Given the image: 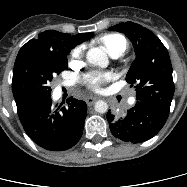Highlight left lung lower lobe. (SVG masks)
<instances>
[{
	"instance_id": "left-lung-lower-lobe-1",
	"label": "left lung lower lobe",
	"mask_w": 187,
	"mask_h": 187,
	"mask_svg": "<svg viewBox=\"0 0 187 187\" xmlns=\"http://www.w3.org/2000/svg\"><path fill=\"white\" fill-rule=\"evenodd\" d=\"M169 111L159 107L137 101L135 106L128 110L127 116L115 119L107 113V120L111 133L122 141L141 143L154 137L164 126Z\"/></svg>"
}]
</instances>
